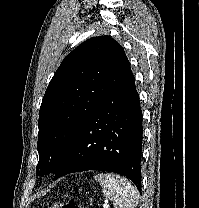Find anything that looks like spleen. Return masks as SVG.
Here are the masks:
<instances>
[{"mask_svg": "<svg viewBox=\"0 0 199 208\" xmlns=\"http://www.w3.org/2000/svg\"><path fill=\"white\" fill-rule=\"evenodd\" d=\"M100 183L104 196L113 202L115 208H135L138 204L139 194L126 178L120 175L101 173L94 176Z\"/></svg>", "mask_w": 199, "mask_h": 208, "instance_id": "obj_1", "label": "spleen"}]
</instances>
